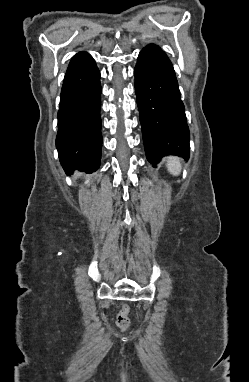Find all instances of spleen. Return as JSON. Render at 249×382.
Returning a JSON list of instances; mask_svg holds the SVG:
<instances>
[{
	"instance_id": "obj_1",
	"label": "spleen",
	"mask_w": 249,
	"mask_h": 382,
	"mask_svg": "<svg viewBox=\"0 0 249 382\" xmlns=\"http://www.w3.org/2000/svg\"><path fill=\"white\" fill-rule=\"evenodd\" d=\"M166 161L169 173L175 176L180 175L182 170L181 160L176 156H169L166 158Z\"/></svg>"
}]
</instances>
